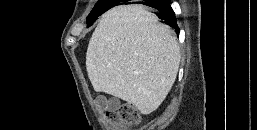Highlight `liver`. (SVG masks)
I'll use <instances>...</instances> for the list:
<instances>
[{
    "label": "liver",
    "mask_w": 257,
    "mask_h": 130,
    "mask_svg": "<svg viewBox=\"0 0 257 130\" xmlns=\"http://www.w3.org/2000/svg\"><path fill=\"white\" fill-rule=\"evenodd\" d=\"M180 48L173 31L142 5L106 12L89 41L88 77L97 92L133 104L142 114L157 110L179 69Z\"/></svg>",
    "instance_id": "6515ba94"
}]
</instances>
